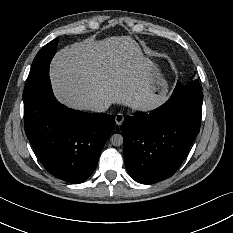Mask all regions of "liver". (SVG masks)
<instances>
[{
    "label": "liver",
    "mask_w": 233,
    "mask_h": 233,
    "mask_svg": "<svg viewBox=\"0 0 233 233\" xmlns=\"http://www.w3.org/2000/svg\"><path fill=\"white\" fill-rule=\"evenodd\" d=\"M139 44L131 36L86 38L57 51L49 78L54 98L67 108L89 111L96 101L148 112L162 102L144 74Z\"/></svg>",
    "instance_id": "6515ba94"
}]
</instances>
